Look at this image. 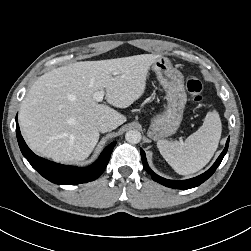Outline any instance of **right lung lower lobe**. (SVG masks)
I'll return each mask as SVG.
<instances>
[{"label": "right lung lower lobe", "mask_w": 251, "mask_h": 251, "mask_svg": "<svg viewBox=\"0 0 251 251\" xmlns=\"http://www.w3.org/2000/svg\"><path fill=\"white\" fill-rule=\"evenodd\" d=\"M16 135L20 150L31 166L47 180L56 184L64 185L86 183L98 178L105 170L109 162L111 152L116 145V142H112L103 150L99 158L93 164L88 167L78 168L48 161L35 155L28 148L21 136L17 116Z\"/></svg>", "instance_id": "98d812e1"}]
</instances>
